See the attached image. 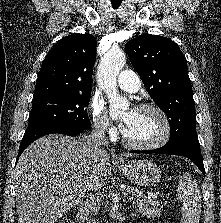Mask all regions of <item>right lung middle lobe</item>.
I'll use <instances>...</instances> for the list:
<instances>
[{"label": "right lung middle lobe", "mask_w": 221, "mask_h": 223, "mask_svg": "<svg viewBox=\"0 0 221 223\" xmlns=\"http://www.w3.org/2000/svg\"><path fill=\"white\" fill-rule=\"evenodd\" d=\"M90 94L55 95L32 101L29 125L32 131L50 125H65L73 128L89 129L87 109Z\"/></svg>", "instance_id": "right-lung-middle-lobe-1"}]
</instances>
